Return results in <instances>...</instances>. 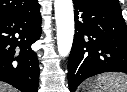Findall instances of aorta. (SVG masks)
<instances>
[{"label":"aorta","instance_id":"aorta-1","mask_svg":"<svg viewBox=\"0 0 127 92\" xmlns=\"http://www.w3.org/2000/svg\"><path fill=\"white\" fill-rule=\"evenodd\" d=\"M57 26V47L61 57L71 51L74 37V10L72 0H54Z\"/></svg>","mask_w":127,"mask_h":92}]
</instances>
